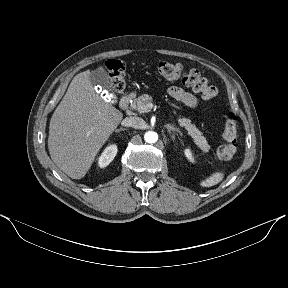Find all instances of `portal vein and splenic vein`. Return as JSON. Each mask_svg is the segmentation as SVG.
I'll return each instance as SVG.
<instances>
[{"label":"portal vein and splenic vein","instance_id":"portal-vein-and-splenic-vein-1","mask_svg":"<svg viewBox=\"0 0 288 288\" xmlns=\"http://www.w3.org/2000/svg\"><path fill=\"white\" fill-rule=\"evenodd\" d=\"M153 107H154L153 104L149 103V104L141 107V109H142V112H149Z\"/></svg>","mask_w":288,"mask_h":288}]
</instances>
